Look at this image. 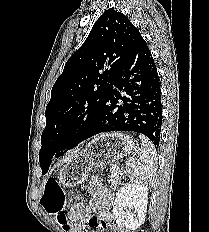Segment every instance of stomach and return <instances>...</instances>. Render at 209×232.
<instances>
[{
	"label": "stomach",
	"mask_w": 209,
	"mask_h": 232,
	"mask_svg": "<svg viewBox=\"0 0 209 232\" xmlns=\"http://www.w3.org/2000/svg\"><path fill=\"white\" fill-rule=\"evenodd\" d=\"M133 148L134 143L126 134H101L63 165L59 171V181L64 186H77L86 180L91 170L115 163L131 153Z\"/></svg>",
	"instance_id": "obj_1"
}]
</instances>
